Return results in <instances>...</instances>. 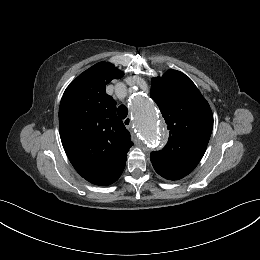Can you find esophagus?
I'll return each instance as SVG.
<instances>
[{"mask_svg":"<svg viewBox=\"0 0 260 260\" xmlns=\"http://www.w3.org/2000/svg\"><path fill=\"white\" fill-rule=\"evenodd\" d=\"M123 123L125 125L126 128H131V124H132V120L130 117H127L126 119L123 120Z\"/></svg>","mask_w":260,"mask_h":260,"instance_id":"1","label":"esophagus"}]
</instances>
